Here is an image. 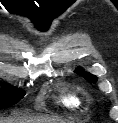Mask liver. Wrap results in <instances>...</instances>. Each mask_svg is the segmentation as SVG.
Listing matches in <instances>:
<instances>
[{
    "label": "liver",
    "mask_w": 118,
    "mask_h": 123,
    "mask_svg": "<svg viewBox=\"0 0 118 123\" xmlns=\"http://www.w3.org/2000/svg\"><path fill=\"white\" fill-rule=\"evenodd\" d=\"M0 123H71V121L50 116H27L18 114L10 118H1Z\"/></svg>",
    "instance_id": "obj_1"
}]
</instances>
